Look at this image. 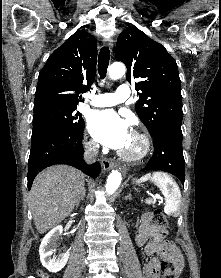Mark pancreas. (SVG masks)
Here are the masks:
<instances>
[{"label": "pancreas", "instance_id": "obj_1", "mask_svg": "<svg viewBox=\"0 0 221 278\" xmlns=\"http://www.w3.org/2000/svg\"><path fill=\"white\" fill-rule=\"evenodd\" d=\"M147 204H151L152 203V200H148L146 201Z\"/></svg>", "mask_w": 221, "mask_h": 278}]
</instances>
